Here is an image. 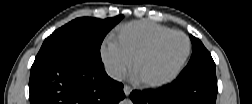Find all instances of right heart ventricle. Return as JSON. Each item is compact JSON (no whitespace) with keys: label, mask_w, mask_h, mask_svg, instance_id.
Listing matches in <instances>:
<instances>
[{"label":"right heart ventricle","mask_w":252,"mask_h":104,"mask_svg":"<svg viewBox=\"0 0 252 104\" xmlns=\"http://www.w3.org/2000/svg\"><path fill=\"white\" fill-rule=\"evenodd\" d=\"M136 32L135 29L126 30L119 35L116 41V47L128 59L134 58L144 42V38Z\"/></svg>","instance_id":"obj_1"}]
</instances>
